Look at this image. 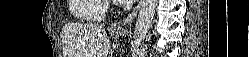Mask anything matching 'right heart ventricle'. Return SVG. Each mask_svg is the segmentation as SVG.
Returning <instances> with one entry per match:
<instances>
[{
    "label": "right heart ventricle",
    "mask_w": 249,
    "mask_h": 57,
    "mask_svg": "<svg viewBox=\"0 0 249 57\" xmlns=\"http://www.w3.org/2000/svg\"><path fill=\"white\" fill-rule=\"evenodd\" d=\"M104 0H70L69 11L71 15L82 21H100L106 14Z\"/></svg>",
    "instance_id": "right-heart-ventricle-1"
}]
</instances>
